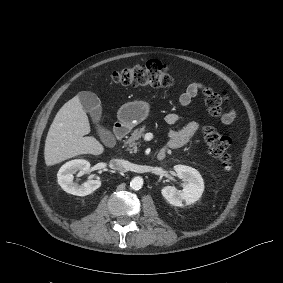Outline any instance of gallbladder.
Listing matches in <instances>:
<instances>
[{
    "label": "gallbladder",
    "instance_id": "1",
    "mask_svg": "<svg viewBox=\"0 0 283 283\" xmlns=\"http://www.w3.org/2000/svg\"><path fill=\"white\" fill-rule=\"evenodd\" d=\"M79 95L83 109L89 113L98 138L106 146L114 147L117 143L115 135L101 123L103 119V107L99 97L90 91H82Z\"/></svg>",
    "mask_w": 283,
    "mask_h": 283
}]
</instances>
